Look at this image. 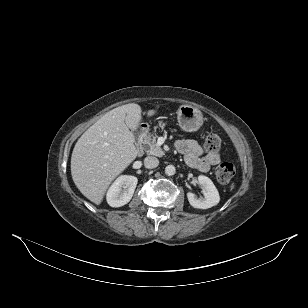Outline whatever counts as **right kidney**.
<instances>
[{"label": "right kidney", "instance_id": "obj_1", "mask_svg": "<svg viewBox=\"0 0 308 308\" xmlns=\"http://www.w3.org/2000/svg\"><path fill=\"white\" fill-rule=\"evenodd\" d=\"M138 179L135 176L122 175L116 179L107 192V203L111 207L127 204L135 191Z\"/></svg>", "mask_w": 308, "mask_h": 308}]
</instances>
